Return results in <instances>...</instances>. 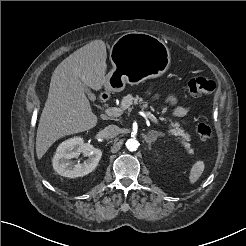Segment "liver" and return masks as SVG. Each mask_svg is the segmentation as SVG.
<instances>
[{
	"label": "liver",
	"instance_id": "liver-1",
	"mask_svg": "<svg viewBox=\"0 0 246 246\" xmlns=\"http://www.w3.org/2000/svg\"><path fill=\"white\" fill-rule=\"evenodd\" d=\"M106 45L94 40L70 54L54 70L36 136L41 159L58 139L97 125L84 85L99 91L106 83Z\"/></svg>",
	"mask_w": 246,
	"mask_h": 246
}]
</instances>
